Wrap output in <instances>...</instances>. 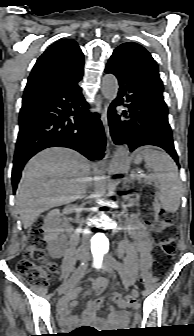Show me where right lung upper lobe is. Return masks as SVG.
Wrapping results in <instances>:
<instances>
[{
  "label": "right lung upper lobe",
  "mask_w": 194,
  "mask_h": 336,
  "mask_svg": "<svg viewBox=\"0 0 194 336\" xmlns=\"http://www.w3.org/2000/svg\"><path fill=\"white\" fill-rule=\"evenodd\" d=\"M84 56L77 43L63 39L51 45L36 61L23 98L52 89L83 70Z\"/></svg>",
  "instance_id": "cb5924a9"
}]
</instances>
